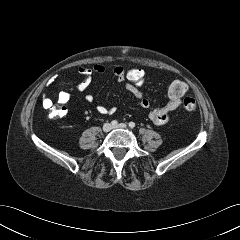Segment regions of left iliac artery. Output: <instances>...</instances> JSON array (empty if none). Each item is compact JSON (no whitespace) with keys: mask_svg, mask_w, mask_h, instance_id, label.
I'll list each match as a JSON object with an SVG mask.
<instances>
[{"mask_svg":"<svg viewBox=\"0 0 240 240\" xmlns=\"http://www.w3.org/2000/svg\"><path fill=\"white\" fill-rule=\"evenodd\" d=\"M129 127L134 128L135 127V123L134 122H129Z\"/></svg>","mask_w":240,"mask_h":240,"instance_id":"obj_1","label":"left iliac artery"}]
</instances>
